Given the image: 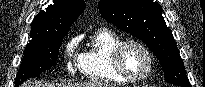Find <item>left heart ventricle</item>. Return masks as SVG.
Here are the masks:
<instances>
[{
  "instance_id": "left-heart-ventricle-1",
  "label": "left heart ventricle",
  "mask_w": 205,
  "mask_h": 87,
  "mask_svg": "<svg viewBox=\"0 0 205 87\" xmlns=\"http://www.w3.org/2000/svg\"><path fill=\"white\" fill-rule=\"evenodd\" d=\"M122 65L130 75L141 76L148 70L149 61L142 49L131 45L122 54Z\"/></svg>"
}]
</instances>
